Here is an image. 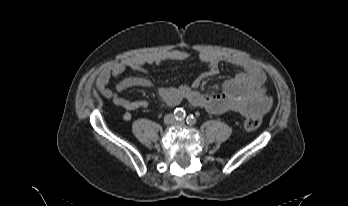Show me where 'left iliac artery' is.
Here are the masks:
<instances>
[{
  "mask_svg": "<svg viewBox=\"0 0 348 206\" xmlns=\"http://www.w3.org/2000/svg\"><path fill=\"white\" fill-rule=\"evenodd\" d=\"M186 122H187L188 125L192 126V125H195V124H196L197 119H196L195 116H193V115L191 114V115L187 116Z\"/></svg>",
  "mask_w": 348,
  "mask_h": 206,
  "instance_id": "left-iliac-artery-1",
  "label": "left iliac artery"
}]
</instances>
